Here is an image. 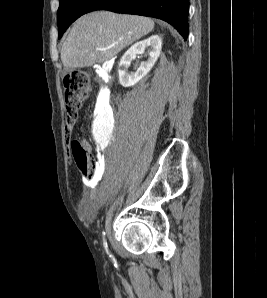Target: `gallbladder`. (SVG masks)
I'll use <instances>...</instances> for the list:
<instances>
[{
	"label": "gallbladder",
	"mask_w": 267,
	"mask_h": 298,
	"mask_svg": "<svg viewBox=\"0 0 267 298\" xmlns=\"http://www.w3.org/2000/svg\"><path fill=\"white\" fill-rule=\"evenodd\" d=\"M69 71H70L69 68H65V69H64V73H68Z\"/></svg>",
	"instance_id": "gallbladder-1"
}]
</instances>
